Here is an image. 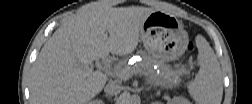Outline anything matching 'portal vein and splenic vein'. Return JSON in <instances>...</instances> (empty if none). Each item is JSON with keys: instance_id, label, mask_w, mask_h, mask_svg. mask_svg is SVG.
Here are the masks:
<instances>
[{"instance_id": "1", "label": "portal vein and splenic vein", "mask_w": 252, "mask_h": 104, "mask_svg": "<svg viewBox=\"0 0 252 104\" xmlns=\"http://www.w3.org/2000/svg\"><path fill=\"white\" fill-rule=\"evenodd\" d=\"M118 76L129 79L131 78L135 73L132 70L129 69H118L116 68Z\"/></svg>"}]
</instances>
